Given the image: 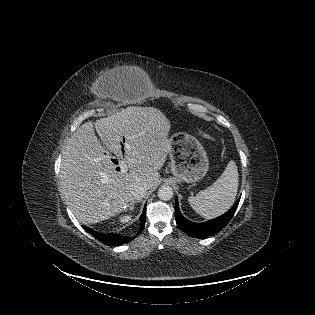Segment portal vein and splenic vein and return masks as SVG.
<instances>
[{
	"label": "portal vein and splenic vein",
	"mask_w": 315,
	"mask_h": 315,
	"mask_svg": "<svg viewBox=\"0 0 315 315\" xmlns=\"http://www.w3.org/2000/svg\"><path fill=\"white\" fill-rule=\"evenodd\" d=\"M121 171H122V173H126L128 171V167L126 164L121 165Z\"/></svg>",
	"instance_id": "1"
}]
</instances>
